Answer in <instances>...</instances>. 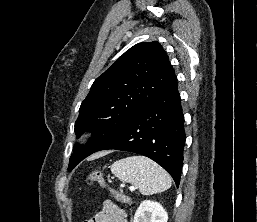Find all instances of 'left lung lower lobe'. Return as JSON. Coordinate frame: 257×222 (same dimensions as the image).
I'll list each match as a JSON object with an SVG mask.
<instances>
[{"instance_id": "0a47b994", "label": "left lung lower lobe", "mask_w": 257, "mask_h": 222, "mask_svg": "<svg viewBox=\"0 0 257 222\" xmlns=\"http://www.w3.org/2000/svg\"><path fill=\"white\" fill-rule=\"evenodd\" d=\"M185 139L184 116L175 77L100 150L130 151L149 157L170 173L179 186Z\"/></svg>"}]
</instances>
